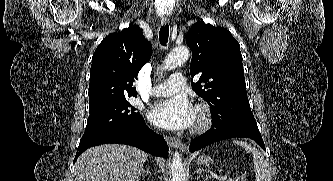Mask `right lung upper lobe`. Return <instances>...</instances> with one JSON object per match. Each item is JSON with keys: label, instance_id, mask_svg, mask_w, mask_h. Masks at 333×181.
Instances as JSON below:
<instances>
[{"label": "right lung upper lobe", "instance_id": "1", "mask_svg": "<svg viewBox=\"0 0 333 181\" xmlns=\"http://www.w3.org/2000/svg\"><path fill=\"white\" fill-rule=\"evenodd\" d=\"M151 55V43L137 26L105 37L92 57L89 108L137 96L133 82Z\"/></svg>", "mask_w": 333, "mask_h": 181}]
</instances>
